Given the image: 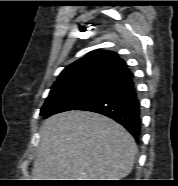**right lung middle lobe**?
<instances>
[{"mask_svg": "<svg viewBox=\"0 0 178 186\" xmlns=\"http://www.w3.org/2000/svg\"><path fill=\"white\" fill-rule=\"evenodd\" d=\"M109 86L107 84L94 83L52 91L41 108L40 115L48 118L56 113L76 110L102 93Z\"/></svg>", "mask_w": 178, "mask_h": 186, "instance_id": "right-lung-middle-lobe-1", "label": "right lung middle lobe"}]
</instances>
